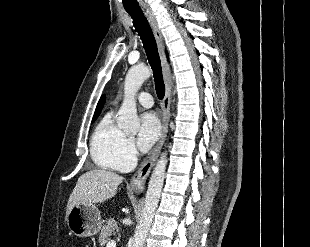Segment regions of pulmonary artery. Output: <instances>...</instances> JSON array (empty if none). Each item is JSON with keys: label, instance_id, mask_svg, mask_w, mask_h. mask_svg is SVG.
I'll use <instances>...</instances> for the list:
<instances>
[{"label": "pulmonary artery", "instance_id": "pulmonary-artery-1", "mask_svg": "<svg viewBox=\"0 0 310 247\" xmlns=\"http://www.w3.org/2000/svg\"><path fill=\"white\" fill-rule=\"evenodd\" d=\"M137 100H138V102H139L142 106H144V107H146V108H149V107H151V106L153 105V98H152V96H151L149 93H147V92H142V93H140V94L137 96ZM127 169H129V168H127ZM127 169H125V170H127Z\"/></svg>", "mask_w": 310, "mask_h": 247}]
</instances>
